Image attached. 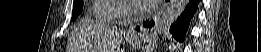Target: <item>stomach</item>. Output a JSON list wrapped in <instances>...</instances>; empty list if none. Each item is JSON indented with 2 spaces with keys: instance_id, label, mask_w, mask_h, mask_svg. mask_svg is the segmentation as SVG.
<instances>
[{
  "instance_id": "0dacf381",
  "label": "stomach",
  "mask_w": 261,
  "mask_h": 52,
  "mask_svg": "<svg viewBox=\"0 0 261 52\" xmlns=\"http://www.w3.org/2000/svg\"><path fill=\"white\" fill-rule=\"evenodd\" d=\"M140 41H142L143 44H145V45L151 46V45H153L156 42V38L153 37V36H148V37L146 36V37H144L142 39H138V38L130 39V43L132 45H135L136 43H138Z\"/></svg>"
}]
</instances>
